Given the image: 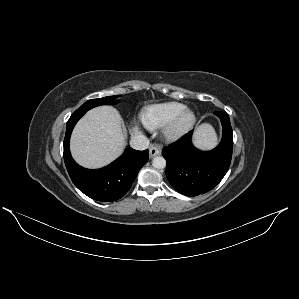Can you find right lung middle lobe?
Instances as JSON below:
<instances>
[{
    "mask_svg": "<svg viewBox=\"0 0 299 299\" xmlns=\"http://www.w3.org/2000/svg\"><path fill=\"white\" fill-rule=\"evenodd\" d=\"M117 97H119V95L88 100L80 108H78L76 112H86L99 105L116 104L118 103V100H116Z\"/></svg>",
    "mask_w": 299,
    "mask_h": 299,
    "instance_id": "obj_1",
    "label": "right lung middle lobe"
}]
</instances>
